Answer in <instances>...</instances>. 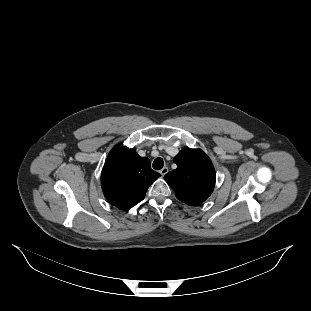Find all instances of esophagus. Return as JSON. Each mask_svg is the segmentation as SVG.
I'll return each mask as SVG.
<instances>
[{
  "instance_id": "1",
  "label": "esophagus",
  "mask_w": 311,
  "mask_h": 311,
  "mask_svg": "<svg viewBox=\"0 0 311 311\" xmlns=\"http://www.w3.org/2000/svg\"><path fill=\"white\" fill-rule=\"evenodd\" d=\"M168 171H169L168 167H163V168L160 170V174H161L162 176H164Z\"/></svg>"
}]
</instances>
